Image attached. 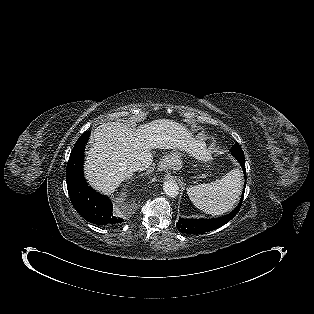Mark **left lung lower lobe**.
I'll return each instance as SVG.
<instances>
[{
    "mask_svg": "<svg viewBox=\"0 0 314 314\" xmlns=\"http://www.w3.org/2000/svg\"><path fill=\"white\" fill-rule=\"evenodd\" d=\"M239 163L242 165L245 181H246V171H245V163L244 158H236ZM245 187L242 193V198L240 200L239 205L228 215L216 218V219H184L179 218L176 226L177 229L181 232L188 233V234H202L208 231H212L215 229L220 228L227 222H229L240 210L242 199L244 195Z\"/></svg>",
    "mask_w": 314,
    "mask_h": 314,
    "instance_id": "left-lung-lower-lobe-1",
    "label": "left lung lower lobe"
}]
</instances>
